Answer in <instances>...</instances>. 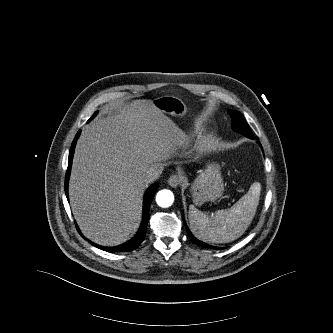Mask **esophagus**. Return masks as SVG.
<instances>
[{
    "label": "esophagus",
    "instance_id": "obj_1",
    "mask_svg": "<svg viewBox=\"0 0 333 333\" xmlns=\"http://www.w3.org/2000/svg\"><path fill=\"white\" fill-rule=\"evenodd\" d=\"M181 181H182V178L179 175H172L168 179V184L171 187L176 188L180 185Z\"/></svg>",
    "mask_w": 333,
    "mask_h": 333
}]
</instances>
